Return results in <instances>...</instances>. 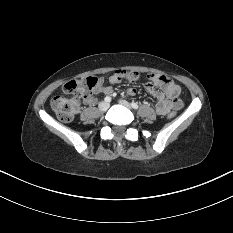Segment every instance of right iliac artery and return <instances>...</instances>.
I'll return each mask as SVG.
<instances>
[{
  "instance_id": "obj_1",
  "label": "right iliac artery",
  "mask_w": 233,
  "mask_h": 233,
  "mask_svg": "<svg viewBox=\"0 0 233 233\" xmlns=\"http://www.w3.org/2000/svg\"><path fill=\"white\" fill-rule=\"evenodd\" d=\"M105 102H110L111 101V97H109V96H107V97H105Z\"/></svg>"
}]
</instances>
